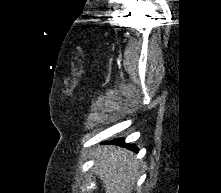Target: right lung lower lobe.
<instances>
[{
	"instance_id": "1",
	"label": "right lung lower lobe",
	"mask_w": 221,
	"mask_h": 193,
	"mask_svg": "<svg viewBox=\"0 0 221 193\" xmlns=\"http://www.w3.org/2000/svg\"><path fill=\"white\" fill-rule=\"evenodd\" d=\"M114 143H116V144H125L123 138L117 139L116 141H114ZM125 146L132 149V150L138 151L137 148L134 145L125 144Z\"/></svg>"
}]
</instances>
